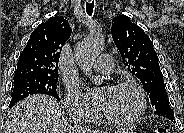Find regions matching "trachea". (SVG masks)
<instances>
[{
  "label": "trachea",
  "mask_w": 184,
  "mask_h": 133,
  "mask_svg": "<svg viewBox=\"0 0 184 133\" xmlns=\"http://www.w3.org/2000/svg\"><path fill=\"white\" fill-rule=\"evenodd\" d=\"M94 8V0L92 2H86V12L89 16L92 15Z\"/></svg>",
  "instance_id": "trachea-1"
}]
</instances>
